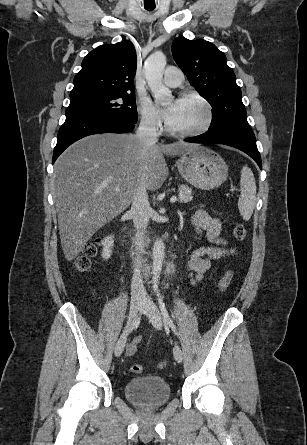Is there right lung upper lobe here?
<instances>
[{"mask_svg":"<svg viewBox=\"0 0 307 445\" xmlns=\"http://www.w3.org/2000/svg\"><path fill=\"white\" fill-rule=\"evenodd\" d=\"M136 66V51L131 41L101 45L83 59L70 98L134 93Z\"/></svg>","mask_w":307,"mask_h":445,"instance_id":"right-lung-upper-lobe-1","label":"right lung upper lobe"}]
</instances>
